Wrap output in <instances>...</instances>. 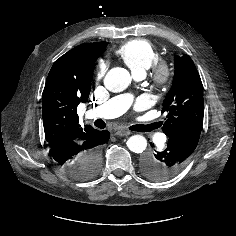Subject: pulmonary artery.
<instances>
[{
  "mask_svg": "<svg viewBox=\"0 0 236 236\" xmlns=\"http://www.w3.org/2000/svg\"><path fill=\"white\" fill-rule=\"evenodd\" d=\"M135 76L136 78L141 79L144 77V74H138ZM133 102L134 97L131 93H123L111 98L93 111L88 112V115L90 117H100L105 119L114 118L125 113L132 106ZM144 125L150 126L148 124ZM155 139L157 143L161 145H163L167 140L166 136L161 133H156Z\"/></svg>",
  "mask_w": 236,
  "mask_h": 236,
  "instance_id": "pulmonary-artery-1",
  "label": "pulmonary artery"
}]
</instances>
